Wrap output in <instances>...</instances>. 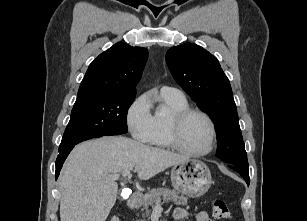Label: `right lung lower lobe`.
Returning a JSON list of instances; mask_svg holds the SVG:
<instances>
[{
    "label": "right lung lower lobe",
    "mask_w": 307,
    "mask_h": 221,
    "mask_svg": "<svg viewBox=\"0 0 307 221\" xmlns=\"http://www.w3.org/2000/svg\"><path fill=\"white\" fill-rule=\"evenodd\" d=\"M73 148H74V146L71 147V148L59 151V155H58V157L56 159V172H55L56 180H57V177L60 174V170L62 168V165H63L65 159L67 158L68 154L71 152V150Z\"/></svg>",
    "instance_id": "right-lung-lower-lobe-1"
}]
</instances>
